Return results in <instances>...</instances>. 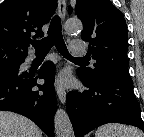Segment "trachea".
<instances>
[{"label":"trachea","mask_w":144,"mask_h":137,"mask_svg":"<svg viewBox=\"0 0 144 137\" xmlns=\"http://www.w3.org/2000/svg\"><path fill=\"white\" fill-rule=\"evenodd\" d=\"M31 44L35 47L36 54H47L53 45H55L56 49L63 57L73 60L86 61L85 58H73L69 54L61 33V19L57 15L51 20L50 27L48 29V36L39 41H31Z\"/></svg>","instance_id":"obj_1"}]
</instances>
